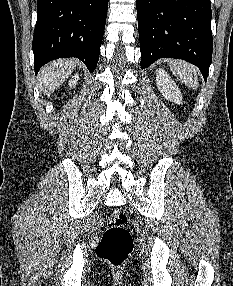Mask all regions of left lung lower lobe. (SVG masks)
I'll use <instances>...</instances> for the list:
<instances>
[{
  "mask_svg": "<svg viewBox=\"0 0 233 286\" xmlns=\"http://www.w3.org/2000/svg\"><path fill=\"white\" fill-rule=\"evenodd\" d=\"M141 68L160 58L199 67L207 80L212 61L210 0H136Z\"/></svg>",
  "mask_w": 233,
  "mask_h": 286,
  "instance_id": "1",
  "label": "left lung lower lobe"
}]
</instances>
